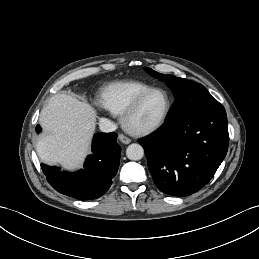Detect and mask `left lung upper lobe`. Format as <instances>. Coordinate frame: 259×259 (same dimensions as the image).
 Instances as JSON below:
<instances>
[{
  "instance_id": "obj_1",
  "label": "left lung upper lobe",
  "mask_w": 259,
  "mask_h": 259,
  "mask_svg": "<svg viewBox=\"0 0 259 259\" xmlns=\"http://www.w3.org/2000/svg\"><path fill=\"white\" fill-rule=\"evenodd\" d=\"M145 70L150 75L165 81L174 93L176 101L167 117V121L178 119L220 104L208 90L199 83L178 78L173 75L160 74L150 68H145Z\"/></svg>"
}]
</instances>
